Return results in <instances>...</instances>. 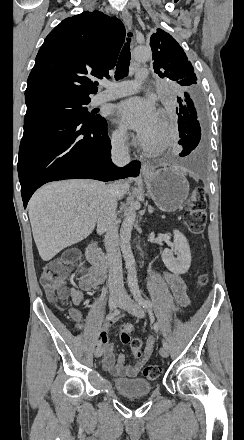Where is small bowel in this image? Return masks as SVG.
Returning a JSON list of instances; mask_svg holds the SVG:
<instances>
[{
	"mask_svg": "<svg viewBox=\"0 0 244 440\" xmlns=\"http://www.w3.org/2000/svg\"><path fill=\"white\" fill-rule=\"evenodd\" d=\"M164 278L173 296V303L169 307L176 311H181V309L188 307L190 300L183 279L173 272L165 273ZM104 279L105 276L103 271L91 268L87 274L79 280L78 285L71 291V299L73 303L75 305L82 304L85 293L102 285ZM77 328L81 329L82 326H77ZM112 334L113 328L111 326L107 327L100 333V339H103L104 341V355L102 361L104 370L119 379L136 378L153 354L156 344L155 337L150 336L148 338L143 356L139 360L132 365H126V357L124 354H119L117 358L115 357L114 345L111 342Z\"/></svg>",
	"mask_w": 244,
	"mask_h": 440,
	"instance_id": "obj_1",
	"label": "small bowel"
}]
</instances>
